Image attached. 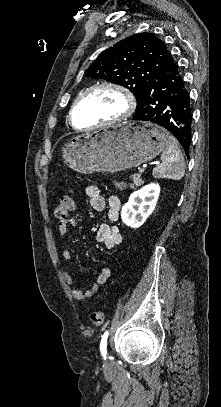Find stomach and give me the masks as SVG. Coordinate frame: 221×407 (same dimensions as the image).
<instances>
[{"mask_svg": "<svg viewBox=\"0 0 221 407\" xmlns=\"http://www.w3.org/2000/svg\"><path fill=\"white\" fill-rule=\"evenodd\" d=\"M168 133L149 122H127L71 137L61 147L72 170L116 173L137 167L166 148Z\"/></svg>", "mask_w": 221, "mask_h": 407, "instance_id": "0dacf381", "label": "stomach"}]
</instances>
